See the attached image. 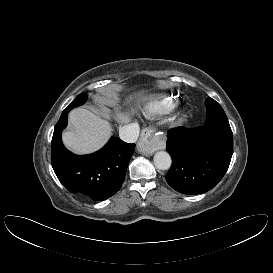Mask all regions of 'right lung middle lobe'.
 Returning <instances> with one entry per match:
<instances>
[{
    "label": "right lung middle lobe",
    "instance_id": "dd1d6c3e",
    "mask_svg": "<svg viewBox=\"0 0 273 273\" xmlns=\"http://www.w3.org/2000/svg\"><path fill=\"white\" fill-rule=\"evenodd\" d=\"M86 97H87V96H86L85 93L79 94V95L74 99V101L71 102V103L68 105V107H67L64 111H70V110H72L73 108L82 105V104L85 102Z\"/></svg>",
    "mask_w": 273,
    "mask_h": 273
}]
</instances>
